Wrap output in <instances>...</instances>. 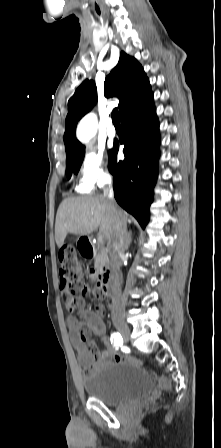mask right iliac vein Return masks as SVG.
Here are the masks:
<instances>
[{
    "label": "right iliac vein",
    "instance_id": "63e3f726",
    "mask_svg": "<svg viewBox=\"0 0 221 448\" xmlns=\"http://www.w3.org/2000/svg\"><path fill=\"white\" fill-rule=\"evenodd\" d=\"M114 323L124 341L127 342L130 338L129 327L120 319H116Z\"/></svg>",
    "mask_w": 221,
    "mask_h": 448
}]
</instances>
